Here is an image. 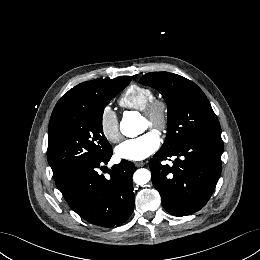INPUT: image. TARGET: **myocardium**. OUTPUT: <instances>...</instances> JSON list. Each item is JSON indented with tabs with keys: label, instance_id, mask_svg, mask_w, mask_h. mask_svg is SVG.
<instances>
[{
	"label": "myocardium",
	"instance_id": "myocardium-1",
	"mask_svg": "<svg viewBox=\"0 0 260 260\" xmlns=\"http://www.w3.org/2000/svg\"><path fill=\"white\" fill-rule=\"evenodd\" d=\"M141 111L151 128L160 133L166 132L169 125V106L164 99L152 98Z\"/></svg>",
	"mask_w": 260,
	"mask_h": 260
}]
</instances>
